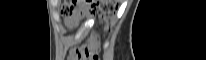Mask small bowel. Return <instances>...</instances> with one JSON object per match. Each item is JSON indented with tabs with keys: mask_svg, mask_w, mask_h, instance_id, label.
<instances>
[{
	"mask_svg": "<svg viewBox=\"0 0 206 60\" xmlns=\"http://www.w3.org/2000/svg\"><path fill=\"white\" fill-rule=\"evenodd\" d=\"M70 60H79L78 57L75 55V51H72L70 56H69Z\"/></svg>",
	"mask_w": 206,
	"mask_h": 60,
	"instance_id": "small-bowel-1",
	"label": "small bowel"
}]
</instances>
